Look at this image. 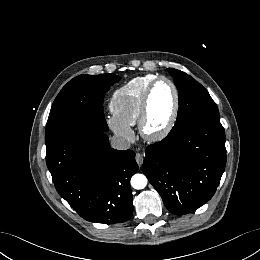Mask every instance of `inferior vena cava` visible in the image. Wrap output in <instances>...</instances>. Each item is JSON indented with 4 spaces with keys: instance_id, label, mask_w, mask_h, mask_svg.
I'll list each match as a JSON object with an SVG mask.
<instances>
[{
    "instance_id": "obj_1",
    "label": "inferior vena cava",
    "mask_w": 260,
    "mask_h": 260,
    "mask_svg": "<svg viewBox=\"0 0 260 260\" xmlns=\"http://www.w3.org/2000/svg\"><path fill=\"white\" fill-rule=\"evenodd\" d=\"M111 146L117 150H127L130 148L131 144L128 140L122 137L113 136L111 139Z\"/></svg>"
}]
</instances>
